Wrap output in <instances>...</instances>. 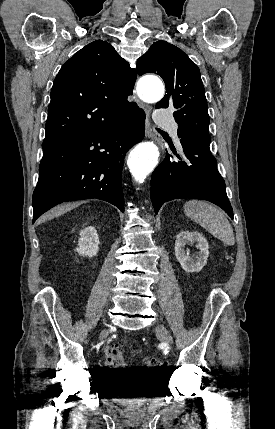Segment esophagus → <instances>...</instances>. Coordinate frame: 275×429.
Wrapping results in <instances>:
<instances>
[{"label":"esophagus","instance_id":"obj_1","mask_svg":"<svg viewBox=\"0 0 275 429\" xmlns=\"http://www.w3.org/2000/svg\"><path fill=\"white\" fill-rule=\"evenodd\" d=\"M140 106L144 109L145 114H146V126H145V135L148 138H154L155 134L154 131L151 127V122H150V113H151V108L149 105L140 103Z\"/></svg>","mask_w":275,"mask_h":429}]
</instances>
